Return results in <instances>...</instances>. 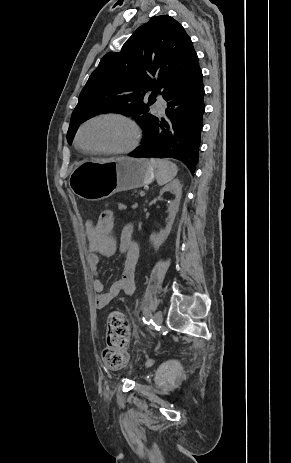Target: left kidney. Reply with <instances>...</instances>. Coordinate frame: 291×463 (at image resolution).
I'll list each match as a JSON object with an SVG mask.
<instances>
[{"instance_id":"5707ae66","label":"left kidney","mask_w":291,"mask_h":463,"mask_svg":"<svg viewBox=\"0 0 291 463\" xmlns=\"http://www.w3.org/2000/svg\"><path fill=\"white\" fill-rule=\"evenodd\" d=\"M167 191H170L172 194H174L175 199L172 202H170L168 207L169 221L166 227L163 230H161L159 234L153 233L150 236V241L156 250L165 242V240L169 236L172 229V225L175 220V216L178 212L180 199L182 195V186L180 184V181L178 179H175L171 183L164 186L160 191V195H163V193Z\"/></svg>"}]
</instances>
